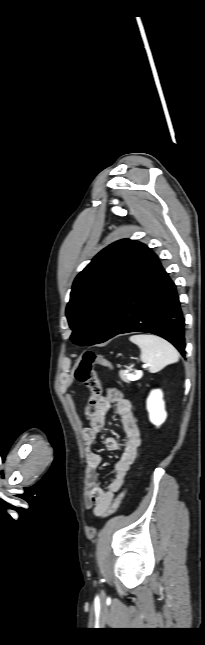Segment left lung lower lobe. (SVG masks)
<instances>
[{
    "instance_id": "1",
    "label": "left lung lower lobe",
    "mask_w": 205,
    "mask_h": 645,
    "mask_svg": "<svg viewBox=\"0 0 205 645\" xmlns=\"http://www.w3.org/2000/svg\"><path fill=\"white\" fill-rule=\"evenodd\" d=\"M115 316L105 341L123 333H152L172 343L185 356V323L176 286L155 253L144 244L122 288Z\"/></svg>"
}]
</instances>
